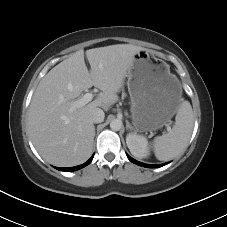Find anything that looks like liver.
Wrapping results in <instances>:
<instances>
[{
	"mask_svg": "<svg viewBox=\"0 0 227 227\" xmlns=\"http://www.w3.org/2000/svg\"><path fill=\"white\" fill-rule=\"evenodd\" d=\"M144 48L117 44L73 53L52 68L38 84L28 112L32 143L47 162L61 167L82 164L92 153L95 127L91 113L106 111L118 100L133 56ZM92 86L102 92L92 102L74 107L84 90Z\"/></svg>",
	"mask_w": 227,
	"mask_h": 227,
	"instance_id": "liver-1",
	"label": "liver"
}]
</instances>
